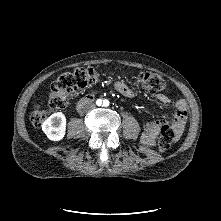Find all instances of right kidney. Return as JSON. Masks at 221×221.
Returning a JSON list of instances; mask_svg holds the SVG:
<instances>
[{
  "instance_id": "obj_1",
  "label": "right kidney",
  "mask_w": 221,
  "mask_h": 221,
  "mask_svg": "<svg viewBox=\"0 0 221 221\" xmlns=\"http://www.w3.org/2000/svg\"><path fill=\"white\" fill-rule=\"evenodd\" d=\"M42 130L50 140H62L66 131L65 115L61 112L52 114L43 122Z\"/></svg>"
}]
</instances>
